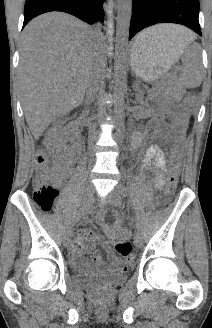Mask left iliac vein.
<instances>
[{"instance_id": "left-iliac-vein-1", "label": "left iliac vein", "mask_w": 212, "mask_h": 328, "mask_svg": "<svg viewBox=\"0 0 212 328\" xmlns=\"http://www.w3.org/2000/svg\"><path fill=\"white\" fill-rule=\"evenodd\" d=\"M110 202L117 207H120L122 204L121 193L118 188L113 189L111 194L109 195ZM134 244L136 247H140L142 245V237L139 232H135L133 238Z\"/></svg>"}]
</instances>
